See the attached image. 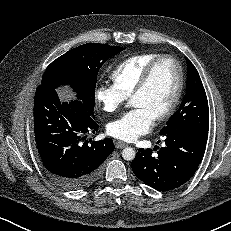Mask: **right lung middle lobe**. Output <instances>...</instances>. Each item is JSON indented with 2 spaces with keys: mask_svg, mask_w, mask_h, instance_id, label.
<instances>
[{
  "mask_svg": "<svg viewBox=\"0 0 231 231\" xmlns=\"http://www.w3.org/2000/svg\"><path fill=\"white\" fill-rule=\"evenodd\" d=\"M124 49L99 43H87L71 49L47 67L41 85L53 88L70 85L77 100L93 115L97 74L106 60Z\"/></svg>",
  "mask_w": 231,
  "mask_h": 231,
  "instance_id": "1",
  "label": "right lung middle lobe"
}]
</instances>
